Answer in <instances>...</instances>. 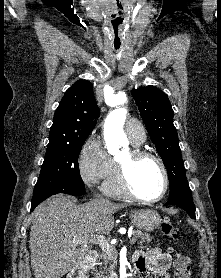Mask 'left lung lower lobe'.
<instances>
[{
  "mask_svg": "<svg viewBox=\"0 0 221 278\" xmlns=\"http://www.w3.org/2000/svg\"><path fill=\"white\" fill-rule=\"evenodd\" d=\"M172 204L184 209L191 218H195V206L192 199V193H182L169 200L165 205Z\"/></svg>",
  "mask_w": 221,
  "mask_h": 278,
  "instance_id": "1",
  "label": "left lung lower lobe"
}]
</instances>
